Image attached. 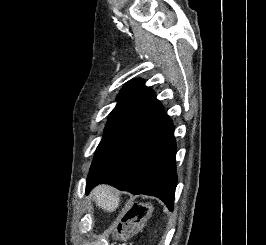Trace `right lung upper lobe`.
Instances as JSON below:
<instances>
[{"label": "right lung upper lobe", "mask_w": 266, "mask_h": 245, "mask_svg": "<svg viewBox=\"0 0 266 245\" xmlns=\"http://www.w3.org/2000/svg\"><path fill=\"white\" fill-rule=\"evenodd\" d=\"M117 101L110 118L147 122L164 113L155 93L145 87L142 80L128 82L122 88Z\"/></svg>", "instance_id": "cb5924a9"}]
</instances>
